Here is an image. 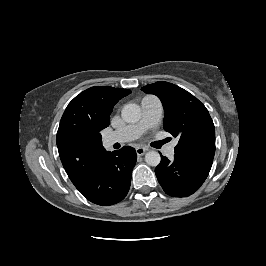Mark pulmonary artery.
<instances>
[{
    "label": "pulmonary artery",
    "instance_id": "1",
    "mask_svg": "<svg viewBox=\"0 0 266 266\" xmlns=\"http://www.w3.org/2000/svg\"><path fill=\"white\" fill-rule=\"evenodd\" d=\"M162 104L156 96H145L141 101V118L135 124L127 125L121 129L111 132L107 138V145L114 143H125L139 138L147 129L156 127L162 117ZM176 141L167 145L164 154L172 157Z\"/></svg>",
    "mask_w": 266,
    "mask_h": 266
}]
</instances>
